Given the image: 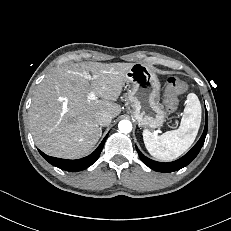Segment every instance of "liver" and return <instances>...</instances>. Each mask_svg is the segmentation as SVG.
Listing matches in <instances>:
<instances>
[{
	"label": "liver",
	"mask_w": 231,
	"mask_h": 231,
	"mask_svg": "<svg viewBox=\"0 0 231 231\" xmlns=\"http://www.w3.org/2000/svg\"><path fill=\"white\" fill-rule=\"evenodd\" d=\"M133 64L81 62L51 71L37 86L28 112L37 147L65 159L87 155L102 135L96 112L120 114L115 101ZM91 92L102 99H87Z\"/></svg>",
	"instance_id": "1"
}]
</instances>
